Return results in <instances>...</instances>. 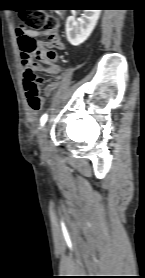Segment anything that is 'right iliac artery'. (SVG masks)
I'll list each match as a JSON object with an SVG mask.
<instances>
[{"mask_svg":"<svg viewBox=\"0 0 145 278\" xmlns=\"http://www.w3.org/2000/svg\"><path fill=\"white\" fill-rule=\"evenodd\" d=\"M46 121H47V114H44L41 118V125L43 126Z\"/></svg>","mask_w":145,"mask_h":278,"instance_id":"1","label":"right iliac artery"}]
</instances>
